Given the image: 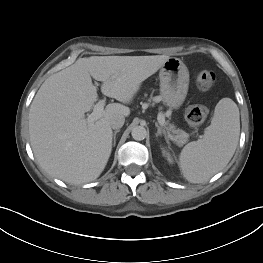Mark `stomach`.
I'll return each mask as SVG.
<instances>
[{"label":"stomach","instance_id":"0dacf381","mask_svg":"<svg viewBox=\"0 0 263 263\" xmlns=\"http://www.w3.org/2000/svg\"><path fill=\"white\" fill-rule=\"evenodd\" d=\"M159 78L163 102L171 109H178L189 88L188 68L180 59L171 57L162 65Z\"/></svg>","mask_w":263,"mask_h":263}]
</instances>
